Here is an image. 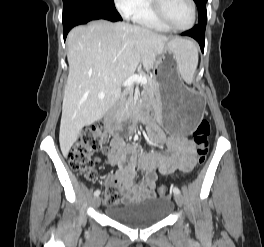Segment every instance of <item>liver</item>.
Segmentation results:
<instances>
[{
  "label": "liver",
  "instance_id": "liver-1",
  "mask_svg": "<svg viewBox=\"0 0 264 247\" xmlns=\"http://www.w3.org/2000/svg\"><path fill=\"white\" fill-rule=\"evenodd\" d=\"M169 41L145 27L98 20L73 28L67 37L69 74L65 86L59 142L67 156L83 127L101 119L120 97L121 85L139 63L153 68ZM105 94L99 99L98 94Z\"/></svg>",
  "mask_w": 264,
  "mask_h": 247
}]
</instances>
